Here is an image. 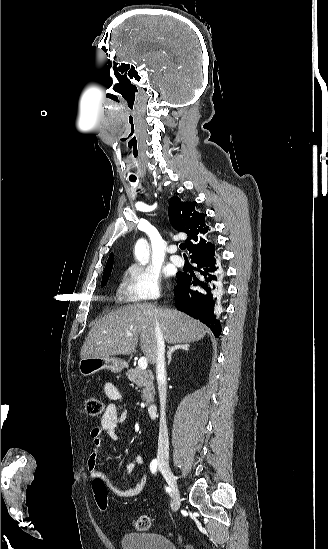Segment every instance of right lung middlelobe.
Returning <instances> with one entry per match:
<instances>
[{"label": "right lung middle lobe", "instance_id": "right-lung-middle-lobe-1", "mask_svg": "<svg viewBox=\"0 0 328 549\" xmlns=\"http://www.w3.org/2000/svg\"><path fill=\"white\" fill-rule=\"evenodd\" d=\"M111 271H112V269H110L108 272L104 273L103 278H102V282H101L102 286L107 283Z\"/></svg>", "mask_w": 328, "mask_h": 549}]
</instances>
